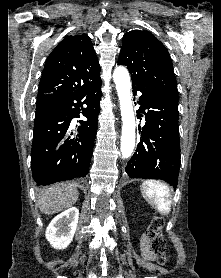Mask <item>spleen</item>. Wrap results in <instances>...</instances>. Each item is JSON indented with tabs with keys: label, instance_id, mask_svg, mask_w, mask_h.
<instances>
[{
	"label": "spleen",
	"instance_id": "spleen-1",
	"mask_svg": "<svg viewBox=\"0 0 221 278\" xmlns=\"http://www.w3.org/2000/svg\"><path fill=\"white\" fill-rule=\"evenodd\" d=\"M141 191L154 209L162 215L171 211V194L167 185L157 180H146L141 185Z\"/></svg>",
	"mask_w": 221,
	"mask_h": 278
}]
</instances>
